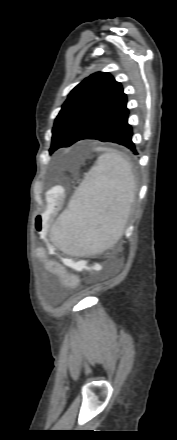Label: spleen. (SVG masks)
I'll return each mask as SVG.
<instances>
[{
  "mask_svg": "<svg viewBox=\"0 0 177 440\" xmlns=\"http://www.w3.org/2000/svg\"><path fill=\"white\" fill-rule=\"evenodd\" d=\"M134 191L131 164L117 153L101 155L53 225L51 241L77 256L113 246L123 234Z\"/></svg>",
  "mask_w": 177,
  "mask_h": 440,
  "instance_id": "3e777b00",
  "label": "spleen"
}]
</instances>
